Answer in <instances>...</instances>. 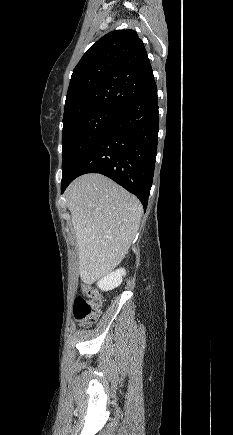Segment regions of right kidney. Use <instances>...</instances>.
Here are the masks:
<instances>
[{"mask_svg": "<svg viewBox=\"0 0 233 435\" xmlns=\"http://www.w3.org/2000/svg\"><path fill=\"white\" fill-rule=\"evenodd\" d=\"M125 275V269H117L116 271L107 274L104 278L98 281L97 285L103 291L115 289L122 283V279Z\"/></svg>", "mask_w": 233, "mask_h": 435, "instance_id": "ca27d5eb", "label": "right kidney"}]
</instances>
